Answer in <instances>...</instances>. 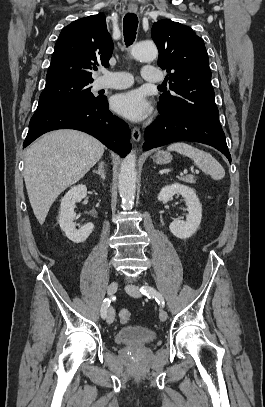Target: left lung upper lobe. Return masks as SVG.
I'll list each match as a JSON object with an SVG mask.
<instances>
[{
  "mask_svg": "<svg viewBox=\"0 0 265 407\" xmlns=\"http://www.w3.org/2000/svg\"><path fill=\"white\" fill-rule=\"evenodd\" d=\"M151 35L173 91L160 96V114L189 115L221 127L203 40L190 27L167 19L154 23Z\"/></svg>",
  "mask_w": 265,
  "mask_h": 407,
  "instance_id": "1",
  "label": "left lung upper lobe"
}]
</instances>
